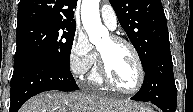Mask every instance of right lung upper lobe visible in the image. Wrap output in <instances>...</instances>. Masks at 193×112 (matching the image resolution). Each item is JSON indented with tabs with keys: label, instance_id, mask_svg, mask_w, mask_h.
<instances>
[{
	"label": "right lung upper lobe",
	"instance_id": "1",
	"mask_svg": "<svg viewBox=\"0 0 193 112\" xmlns=\"http://www.w3.org/2000/svg\"><path fill=\"white\" fill-rule=\"evenodd\" d=\"M76 5L77 0H20L17 29L37 23L76 25L73 20Z\"/></svg>",
	"mask_w": 193,
	"mask_h": 112
}]
</instances>
